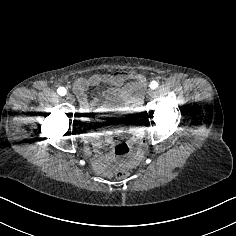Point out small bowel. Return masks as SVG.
Instances as JSON below:
<instances>
[{"label":"small bowel","mask_w":236,"mask_h":236,"mask_svg":"<svg viewBox=\"0 0 236 236\" xmlns=\"http://www.w3.org/2000/svg\"><path fill=\"white\" fill-rule=\"evenodd\" d=\"M126 81H133L120 86ZM103 82L117 87L113 89L108 101L98 105L89 100L86 90ZM145 79L134 72H123L115 75L95 74L89 78L79 79L75 90L80 102L82 119L90 122L93 114L104 115L118 113L125 117L126 123L122 126L112 125L103 131H89L84 134L87 143L92 144L94 154L92 163L101 174H109L117 166L137 165L145 156L146 143L143 136L142 124L139 121L140 106L143 101L142 91ZM128 135L127 142L115 144L114 137Z\"/></svg>","instance_id":"1"}]
</instances>
